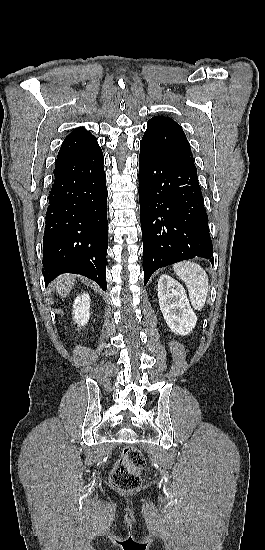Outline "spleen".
<instances>
[{
	"label": "spleen",
	"mask_w": 265,
	"mask_h": 550,
	"mask_svg": "<svg viewBox=\"0 0 265 550\" xmlns=\"http://www.w3.org/2000/svg\"><path fill=\"white\" fill-rule=\"evenodd\" d=\"M173 269L178 277L186 283L193 308L201 310L209 291V280L205 270L190 261L177 263Z\"/></svg>",
	"instance_id": "obj_1"
}]
</instances>
